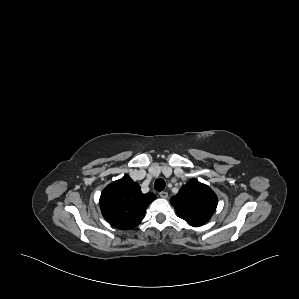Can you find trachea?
I'll return each mask as SVG.
<instances>
[{
	"mask_svg": "<svg viewBox=\"0 0 299 299\" xmlns=\"http://www.w3.org/2000/svg\"><path fill=\"white\" fill-rule=\"evenodd\" d=\"M165 186H166V183L162 178H158L154 183V188L157 191H163Z\"/></svg>",
	"mask_w": 299,
	"mask_h": 299,
	"instance_id": "3493384b",
	"label": "trachea"
}]
</instances>
